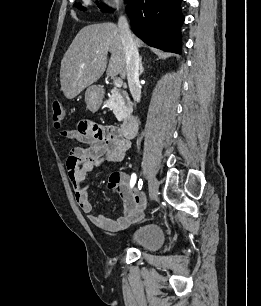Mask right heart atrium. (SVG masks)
<instances>
[{
    "label": "right heart atrium",
    "mask_w": 261,
    "mask_h": 306,
    "mask_svg": "<svg viewBox=\"0 0 261 306\" xmlns=\"http://www.w3.org/2000/svg\"><path fill=\"white\" fill-rule=\"evenodd\" d=\"M124 0H100L101 5L108 10H118L122 7Z\"/></svg>",
    "instance_id": "right-heart-atrium-1"
}]
</instances>
